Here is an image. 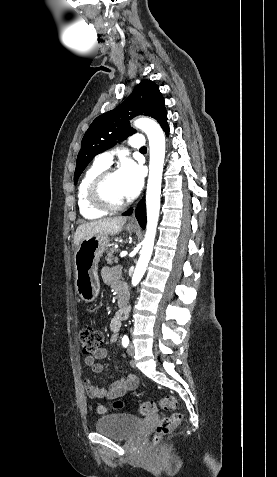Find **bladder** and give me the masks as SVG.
<instances>
[{
    "label": "bladder",
    "mask_w": 277,
    "mask_h": 477,
    "mask_svg": "<svg viewBox=\"0 0 277 477\" xmlns=\"http://www.w3.org/2000/svg\"><path fill=\"white\" fill-rule=\"evenodd\" d=\"M140 419L128 413L107 414L95 423L98 433L116 440H125L133 436L140 426Z\"/></svg>",
    "instance_id": "31cf9c89"
}]
</instances>
